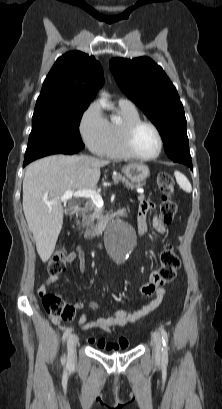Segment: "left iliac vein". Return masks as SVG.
Returning a JSON list of instances; mask_svg holds the SVG:
<instances>
[{"label": "left iliac vein", "instance_id": "4c4485c4", "mask_svg": "<svg viewBox=\"0 0 222 409\" xmlns=\"http://www.w3.org/2000/svg\"><path fill=\"white\" fill-rule=\"evenodd\" d=\"M152 340L154 343V356L156 359H160L162 354V339L160 334L158 332H153Z\"/></svg>", "mask_w": 222, "mask_h": 409}]
</instances>
